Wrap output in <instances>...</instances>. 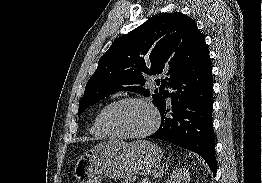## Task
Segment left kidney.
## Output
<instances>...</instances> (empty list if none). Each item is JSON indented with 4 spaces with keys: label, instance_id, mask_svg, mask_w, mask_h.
Here are the masks:
<instances>
[{
    "label": "left kidney",
    "instance_id": "left-kidney-1",
    "mask_svg": "<svg viewBox=\"0 0 262 183\" xmlns=\"http://www.w3.org/2000/svg\"><path fill=\"white\" fill-rule=\"evenodd\" d=\"M189 171L186 168H179L173 171L166 183H189Z\"/></svg>",
    "mask_w": 262,
    "mask_h": 183
}]
</instances>
